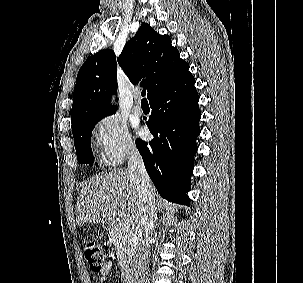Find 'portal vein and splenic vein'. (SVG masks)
Listing matches in <instances>:
<instances>
[{
    "mask_svg": "<svg viewBox=\"0 0 303 283\" xmlns=\"http://www.w3.org/2000/svg\"><path fill=\"white\" fill-rule=\"evenodd\" d=\"M121 224H123L126 228H129V222H127V221H123Z\"/></svg>",
    "mask_w": 303,
    "mask_h": 283,
    "instance_id": "obj_1",
    "label": "portal vein and splenic vein"
}]
</instances>
